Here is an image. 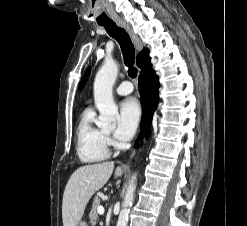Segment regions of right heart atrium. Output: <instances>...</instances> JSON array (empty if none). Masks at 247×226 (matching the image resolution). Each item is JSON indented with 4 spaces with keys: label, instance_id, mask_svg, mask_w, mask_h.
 I'll use <instances>...</instances> for the list:
<instances>
[{
    "label": "right heart atrium",
    "instance_id": "right-heart-atrium-1",
    "mask_svg": "<svg viewBox=\"0 0 247 226\" xmlns=\"http://www.w3.org/2000/svg\"><path fill=\"white\" fill-rule=\"evenodd\" d=\"M107 140H108L109 142H112V139H111L110 137H108Z\"/></svg>",
    "mask_w": 247,
    "mask_h": 226
}]
</instances>
